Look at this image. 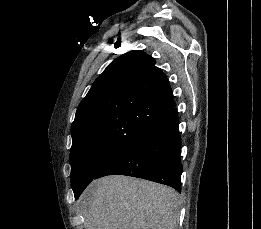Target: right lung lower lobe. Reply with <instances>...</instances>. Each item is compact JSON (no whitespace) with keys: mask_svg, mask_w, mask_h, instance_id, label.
<instances>
[{"mask_svg":"<svg viewBox=\"0 0 261 229\" xmlns=\"http://www.w3.org/2000/svg\"><path fill=\"white\" fill-rule=\"evenodd\" d=\"M180 151L178 113L173 109L94 179L114 174L128 175L169 185L180 192Z\"/></svg>","mask_w":261,"mask_h":229,"instance_id":"98d812e1","label":"right lung lower lobe"}]
</instances>
